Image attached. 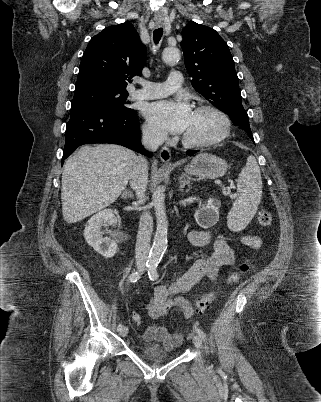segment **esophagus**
<instances>
[{
	"mask_svg": "<svg viewBox=\"0 0 321 402\" xmlns=\"http://www.w3.org/2000/svg\"><path fill=\"white\" fill-rule=\"evenodd\" d=\"M157 24L160 25L161 21H158ZM159 157L164 163L171 164V152L167 147H162L160 149Z\"/></svg>",
	"mask_w": 321,
	"mask_h": 402,
	"instance_id": "obj_1",
	"label": "esophagus"
}]
</instances>
